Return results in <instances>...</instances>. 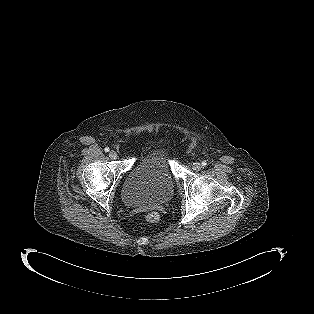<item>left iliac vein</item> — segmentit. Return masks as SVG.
<instances>
[{
	"label": "left iliac vein",
	"mask_w": 314,
	"mask_h": 314,
	"mask_svg": "<svg viewBox=\"0 0 314 314\" xmlns=\"http://www.w3.org/2000/svg\"><path fill=\"white\" fill-rule=\"evenodd\" d=\"M201 164L199 162H194L193 165H192V168L195 170V171H199L201 169Z\"/></svg>",
	"instance_id": "left-iliac-vein-1"
}]
</instances>
